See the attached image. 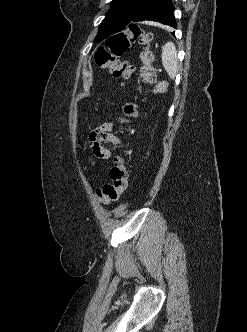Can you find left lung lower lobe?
<instances>
[{
    "label": "left lung lower lobe",
    "instance_id": "obj_1",
    "mask_svg": "<svg viewBox=\"0 0 247 332\" xmlns=\"http://www.w3.org/2000/svg\"><path fill=\"white\" fill-rule=\"evenodd\" d=\"M143 21H156L176 28L174 6L171 0H148L128 21L125 28Z\"/></svg>",
    "mask_w": 247,
    "mask_h": 332
}]
</instances>
